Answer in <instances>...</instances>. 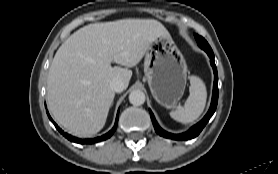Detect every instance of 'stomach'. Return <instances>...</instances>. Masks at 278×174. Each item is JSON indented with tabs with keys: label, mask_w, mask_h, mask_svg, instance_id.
<instances>
[{
	"label": "stomach",
	"mask_w": 278,
	"mask_h": 174,
	"mask_svg": "<svg viewBox=\"0 0 278 174\" xmlns=\"http://www.w3.org/2000/svg\"><path fill=\"white\" fill-rule=\"evenodd\" d=\"M187 71L186 61L171 37L152 40L145 52L144 73L160 105L172 108L182 98Z\"/></svg>",
	"instance_id": "1"
}]
</instances>
